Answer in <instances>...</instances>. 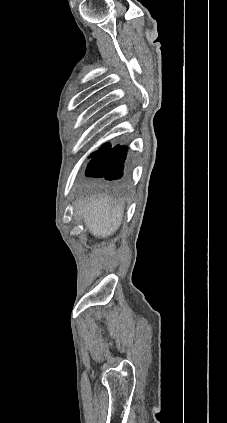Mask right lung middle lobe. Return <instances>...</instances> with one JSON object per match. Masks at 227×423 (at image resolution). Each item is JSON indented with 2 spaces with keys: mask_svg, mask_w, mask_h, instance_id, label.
<instances>
[{
  "mask_svg": "<svg viewBox=\"0 0 227 423\" xmlns=\"http://www.w3.org/2000/svg\"><path fill=\"white\" fill-rule=\"evenodd\" d=\"M96 154H98V153H96ZM96 154H92L91 157L94 156V155H96Z\"/></svg>",
  "mask_w": 227,
  "mask_h": 423,
  "instance_id": "1",
  "label": "right lung middle lobe"
}]
</instances>
